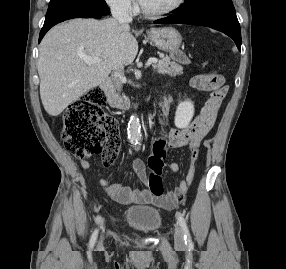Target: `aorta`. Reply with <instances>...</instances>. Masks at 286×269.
I'll list each match as a JSON object with an SVG mask.
<instances>
[{
    "label": "aorta",
    "instance_id": "aorta-1",
    "mask_svg": "<svg viewBox=\"0 0 286 269\" xmlns=\"http://www.w3.org/2000/svg\"><path fill=\"white\" fill-rule=\"evenodd\" d=\"M128 139L130 143L137 144L141 139L140 120L136 115H132L128 123Z\"/></svg>",
    "mask_w": 286,
    "mask_h": 269
}]
</instances>
